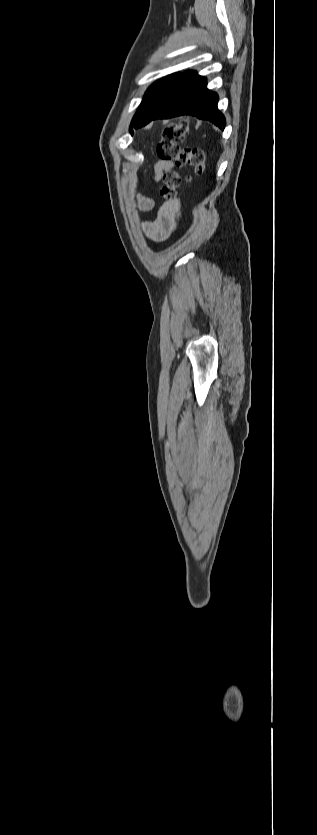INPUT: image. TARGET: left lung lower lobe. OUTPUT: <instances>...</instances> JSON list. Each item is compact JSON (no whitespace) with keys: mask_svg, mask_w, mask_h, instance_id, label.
<instances>
[{"mask_svg":"<svg viewBox=\"0 0 317 835\" xmlns=\"http://www.w3.org/2000/svg\"><path fill=\"white\" fill-rule=\"evenodd\" d=\"M206 85V79L196 72L183 73L164 104L142 126L156 119L188 115L210 121L224 130L226 121L217 108L218 95L209 91Z\"/></svg>","mask_w":317,"mask_h":835,"instance_id":"left-lung-lower-lobe-1","label":"left lung lower lobe"}]
</instances>
